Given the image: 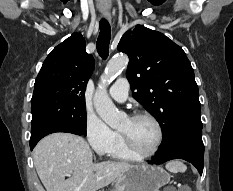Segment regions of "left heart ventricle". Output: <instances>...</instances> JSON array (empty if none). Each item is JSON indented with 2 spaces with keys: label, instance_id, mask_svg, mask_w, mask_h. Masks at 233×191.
<instances>
[{
  "label": "left heart ventricle",
  "instance_id": "obj_1",
  "mask_svg": "<svg viewBox=\"0 0 233 191\" xmlns=\"http://www.w3.org/2000/svg\"><path fill=\"white\" fill-rule=\"evenodd\" d=\"M119 130L125 133L142 152H150L157 142V129L148 119L127 118Z\"/></svg>",
  "mask_w": 233,
  "mask_h": 191
}]
</instances>
